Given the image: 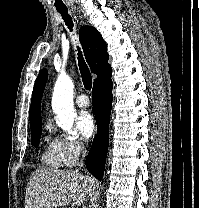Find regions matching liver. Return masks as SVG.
<instances>
[{"label":"liver","mask_w":199,"mask_h":208,"mask_svg":"<svg viewBox=\"0 0 199 208\" xmlns=\"http://www.w3.org/2000/svg\"><path fill=\"white\" fill-rule=\"evenodd\" d=\"M97 185L95 178L77 170L37 169L27 185L25 208L80 206L94 195Z\"/></svg>","instance_id":"6515ba94"}]
</instances>
